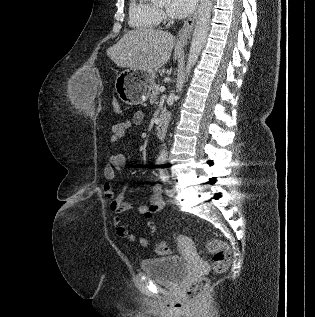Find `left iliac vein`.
Segmentation results:
<instances>
[{
  "label": "left iliac vein",
  "instance_id": "obj_1",
  "mask_svg": "<svg viewBox=\"0 0 315 317\" xmlns=\"http://www.w3.org/2000/svg\"><path fill=\"white\" fill-rule=\"evenodd\" d=\"M175 193H176V189H175L174 187H172L171 189H169V190L167 191V194H168L169 196H174Z\"/></svg>",
  "mask_w": 315,
  "mask_h": 317
}]
</instances>
